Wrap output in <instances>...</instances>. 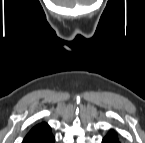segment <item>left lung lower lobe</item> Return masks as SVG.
I'll return each mask as SVG.
<instances>
[{"mask_svg": "<svg viewBox=\"0 0 145 143\" xmlns=\"http://www.w3.org/2000/svg\"><path fill=\"white\" fill-rule=\"evenodd\" d=\"M102 143H119V142H118V140L116 138L107 135L103 139V142Z\"/></svg>", "mask_w": 145, "mask_h": 143, "instance_id": "obj_1", "label": "left lung lower lobe"}]
</instances>
